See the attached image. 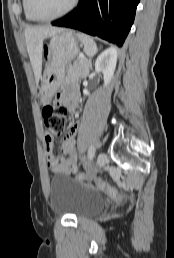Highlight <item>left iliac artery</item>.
<instances>
[{
  "label": "left iliac artery",
  "instance_id": "obj_1",
  "mask_svg": "<svg viewBox=\"0 0 174 258\" xmlns=\"http://www.w3.org/2000/svg\"><path fill=\"white\" fill-rule=\"evenodd\" d=\"M94 155H95V148L91 145V146L89 147V150H88V158H89L90 160H92L93 157H94Z\"/></svg>",
  "mask_w": 174,
  "mask_h": 258
}]
</instances>
